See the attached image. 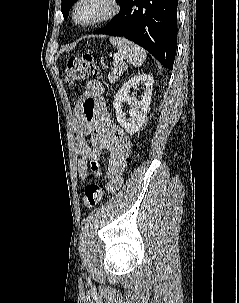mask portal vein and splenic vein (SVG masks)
<instances>
[{"mask_svg": "<svg viewBox=\"0 0 239 303\" xmlns=\"http://www.w3.org/2000/svg\"><path fill=\"white\" fill-rule=\"evenodd\" d=\"M116 65H118V62H115V63H114V66H116Z\"/></svg>", "mask_w": 239, "mask_h": 303, "instance_id": "portal-vein-and-splenic-vein-1", "label": "portal vein and splenic vein"}]
</instances>
